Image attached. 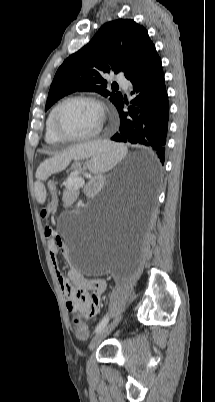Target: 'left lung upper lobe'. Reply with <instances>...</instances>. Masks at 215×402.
Here are the masks:
<instances>
[{"label": "left lung upper lobe", "mask_w": 215, "mask_h": 402, "mask_svg": "<svg viewBox=\"0 0 215 402\" xmlns=\"http://www.w3.org/2000/svg\"><path fill=\"white\" fill-rule=\"evenodd\" d=\"M158 57L147 30L131 19L105 23L91 41L70 55L57 70L45 111L60 98L76 92H97L117 106L121 93L106 89L105 73L124 72L128 79Z\"/></svg>", "instance_id": "5c2ea615"}]
</instances>
